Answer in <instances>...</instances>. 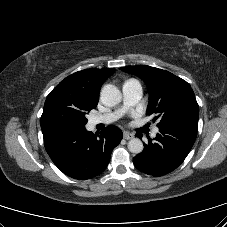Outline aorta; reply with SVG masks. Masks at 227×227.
I'll return each instance as SVG.
<instances>
[{"label":"aorta","instance_id":"762f6f07","mask_svg":"<svg viewBox=\"0 0 227 227\" xmlns=\"http://www.w3.org/2000/svg\"><path fill=\"white\" fill-rule=\"evenodd\" d=\"M100 98L105 106L112 107L121 101L122 94L116 86L107 84L102 88ZM128 149L131 153L139 154L143 151V143L139 138H133L128 142Z\"/></svg>","mask_w":227,"mask_h":227}]
</instances>
